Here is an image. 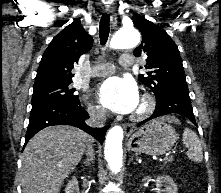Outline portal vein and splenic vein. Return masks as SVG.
<instances>
[{"label":"portal vein and splenic vein","mask_w":221,"mask_h":193,"mask_svg":"<svg viewBox=\"0 0 221 193\" xmlns=\"http://www.w3.org/2000/svg\"><path fill=\"white\" fill-rule=\"evenodd\" d=\"M168 157H170V156L166 155V156H165V158H164V160H167V159H168Z\"/></svg>","instance_id":"obj_1"}]
</instances>
